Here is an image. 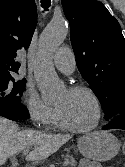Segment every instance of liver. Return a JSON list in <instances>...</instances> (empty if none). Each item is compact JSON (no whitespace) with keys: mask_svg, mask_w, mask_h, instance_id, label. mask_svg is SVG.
<instances>
[{"mask_svg":"<svg viewBox=\"0 0 125 167\" xmlns=\"http://www.w3.org/2000/svg\"><path fill=\"white\" fill-rule=\"evenodd\" d=\"M71 139L67 134H47L36 130H19L18 125L0 117V166L7 159L30 146L34 149L26 156L28 161L44 160Z\"/></svg>","mask_w":125,"mask_h":167,"instance_id":"liver-1","label":"liver"}]
</instances>
